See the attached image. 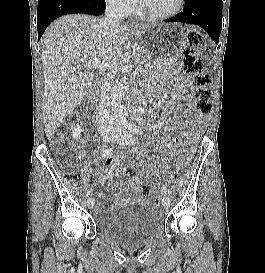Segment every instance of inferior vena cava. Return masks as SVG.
<instances>
[{"mask_svg": "<svg viewBox=\"0 0 265 273\" xmlns=\"http://www.w3.org/2000/svg\"><path fill=\"white\" fill-rule=\"evenodd\" d=\"M125 17V5L119 0H111L105 11V18L100 20V26L107 37H112L119 27L120 21ZM114 72L109 71L101 86L98 104L99 131L102 136L116 131V122L111 110V85L114 80Z\"/></svg>", "mask_w": 265, "mask_h": 273, "instance_id": "obj_1", "label": "inferior vena cava"}]
</instances>
